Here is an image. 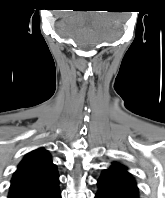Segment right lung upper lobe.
<instances>
[{"label": "right lung upper lobe", "instance_id": "right-lung-upper-lobe-1", "mask_svg": "<svg viewBox=\"0 0 165 198\" xmlns=\"http://www.w3.org/2000/svg\"><path fill=\"white\" fill-rule=\"evenodd\" d=\"M59 175L43 148L28 153L13 175L8 198H43L59 186Z\"/></svg>", "mask_w": 165, "mask_h": 198}]
</instances>
